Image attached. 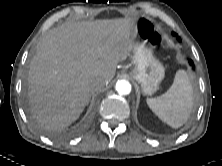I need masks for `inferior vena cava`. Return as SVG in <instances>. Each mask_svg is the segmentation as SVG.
I'll return each instance as SVG.
<instances>
[{
	"instance_id": "inferior-vena-cava-1",
	"label": "inferior vena cava",
	"mask_w": 222,
	"mask_h": 166,
	"mask_svg": "<svg viewBox=\"0 0 222 166\" xmlns=\"http://www.w3.org/2000/svg\"><path fill=\"white\" fill-rule=\"evenodd\" d=\"M105 85H106L105 81L97 80L93 83L92 89H93V91H101Z\"/></svg>"
}]
</instances>
